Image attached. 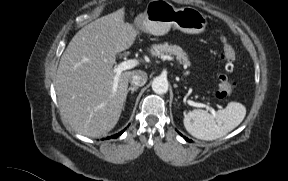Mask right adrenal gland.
Listing matches in <instances>:
<instances>
[{
	"mask_svg": "<svg viewBox=\"0 0 288 181\" xmlns=\"http://www.w3.org/2000/svg\"><path fill=\"white\" fill-rule=\"evenodd\" d=\"M138 89V87L134 86V87H129L126 91V96L127 94L131 91V94L134 93V91H136Z\"/></svg>",
	"mask_w": 288,
	"mask_h": 181,
	"instance_id": "2a0ac1e0",
	"label": "right adrenal gland"
}]
</instances>
